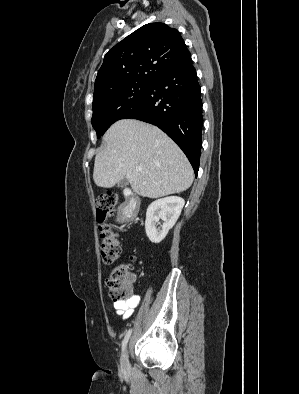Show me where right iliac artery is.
<instances>
[{"label": "right iliac artery", "instance_id": "obj_1", "mask_svg": "<svg viewBox=\"0 0 299 394\" xmlns=\"http://www.w3.org/2000/svg\"><path fill=\"white\" fill-rule=\"evenodd\" d=\"M131 332H132V329H129V330L127 331V333H126V335H125L123 341H122V351H124V349L126 348V345H127L128 340H129V338H130Z\"/></svg>", "mask_w": 299, "mask_h": 394}]
</instances>
